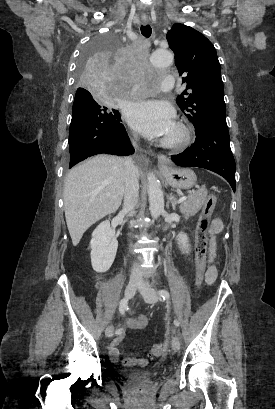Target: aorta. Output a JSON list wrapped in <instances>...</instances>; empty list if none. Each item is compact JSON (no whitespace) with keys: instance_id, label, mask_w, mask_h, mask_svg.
I'll return each mask as SVG.
<instances>
[{"instance_id":"obj_1","label":"aorta","mask_w":275,"mask_h":409,"mask_svg":"<svg viewBox=\"0 0 275 409\" xmlns=\"http://www.w3.org/2000/svg\"><path fill=\"white\" fill-rule=\"evenodd\" d=\"M146 57L149 65H168L173 60V54L169 51H147ZM147 178L150 202L149 211L153 219H157L162 211H164V196L155 174L149 172Z\"/></svg>"}]
</instances>
